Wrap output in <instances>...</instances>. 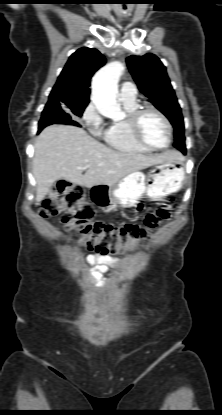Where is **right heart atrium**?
<instances>
[{
  "label": "right heart atrium",
  "mask_w": 222,
  "mask_h": 415,
  "mask_svg": "<svg viewBox=\"0 0 222 415\" xmlns=\"http://www.w3.org/2000/svg\"><path fill=\"white\" fill-rule=\"evenodd\" d=\"M82 124L93 134H101L103 117L94 103H89L81 114Z\"/></svg>",
  "instance_id": "d8ad5b80"
}]
</instances>
